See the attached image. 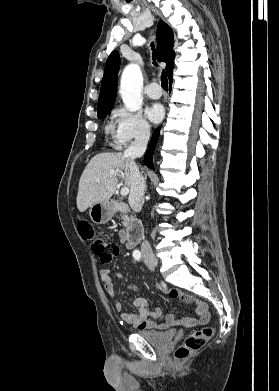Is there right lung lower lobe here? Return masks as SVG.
I'll use <instances>...</instances> for the list:
<instances>
[{
	"label": "right lung lower lobe",
	"instance_id": "98d812e1",
	"mask_svg": "<svg viewBox=\"0 0 279 391\" xmlns=\"http://www.w3.org/2000/svg\"><path fill=\"white\" fill-rule=\"evenodd\" d=\"M171 84H172V79L170 80V85ZM159 133H160V128H157L153 133L149 149L145 153L144 164L150 168H153V164H152L153 156L152 155H153L154 148H155L157 141H158V138H159Z\"/></svg>",
	"mask_w": 279,
	"mask_h": 391
}]
</instances>
